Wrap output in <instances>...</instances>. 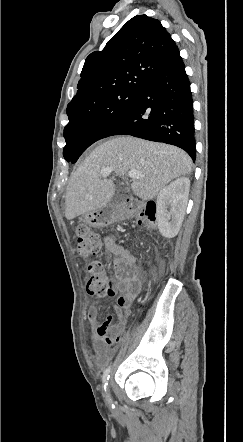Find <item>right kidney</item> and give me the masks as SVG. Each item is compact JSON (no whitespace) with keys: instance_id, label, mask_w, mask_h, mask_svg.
<instances>
[{"instance_id":"right-kidney-1","label":"right kidney","mask_w":243,"mask_h":442,"mask_svg":"<svg viewBox=\"0 0 243 442\" xmlns=\"http://www.w3.org/2000/svg\"><path fill=\"white\" fill-rule=\"evenodd\" d=\"M189 189L190 180L181 177L158 193L156 218L162 236L172 238L177 235L185 215Z\"/></svg>"}]
</instances>
